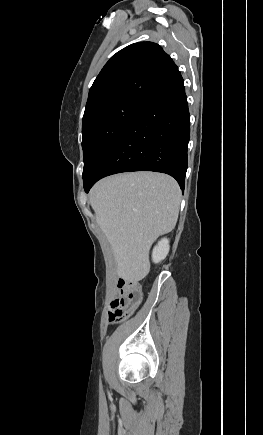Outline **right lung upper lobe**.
Here are the masks:
<instances>
[{"label": "right lung upper lobe", "mask_w": 263, "mask_h": 435, "mask_svg": "<svg viewBox=\"0 0 263 435\" xmlns=\"http://www.w3.org/2000/svg\"><path fill=\"white\" fill-rule=\"evenodd\" d=\"M179 74L173 60L158 44H131L112 56L95 79L83 119L104 104L121 100L144 103Z\"/></svg>", "instance_id": "cb5924a9"}]
</instances>
